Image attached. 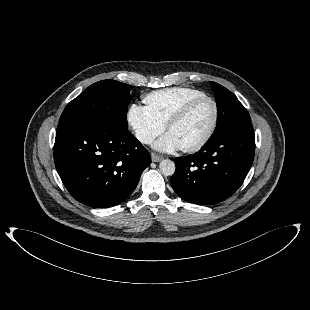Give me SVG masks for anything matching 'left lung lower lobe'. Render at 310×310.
I'll return each mask as SVG.
<instances>
[{"instance_id":"0a47b994","label":"left lung lower lobe","mask_w":310,"mask_h":310,"mask_svg":"<svg viewBox=\"0 0 310 310\" xmlns=\"http://www.w3.org/2000/svg\"><path fill=\"white\" fill-rule=\"evenodd\" d=\"M254 151L255 136L250 123L209 140L193 155L175 158L171 186L190 203L212 205L224 201L242 185Z\"/></svg>"}]
</instances>
